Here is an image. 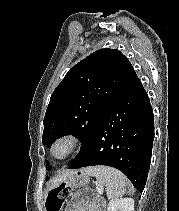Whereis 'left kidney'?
Listing matches in <instances>:
<instances>
[{"instance_id":"obj_1","label":"left kidney","mask_w":179,"mask_h":211,"mask_svg":"<svg viewBox=\"0 0 179 211\" xmlns=\"http://www.w3.org/2000/svg\"><path fill=\"white\" fill-rule=\"evenodd\" d=\"M107 211H134V200L132 198L112 199Z\"/></svg>"}]
</instances>
